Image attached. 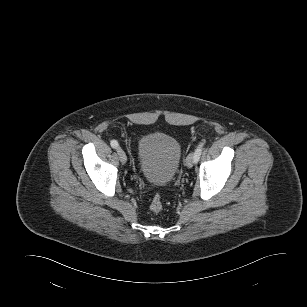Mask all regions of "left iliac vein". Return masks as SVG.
Segmentation results:
<instances>
[{
    "label": "left iliac vein",
    "instance_id": "left-iliac-vein-1",
    "mask_svg": "<svg viewBox=\"0 0 307 307\" xmlns=\"http://www.w3.org/2000/svg\"><path fill=\"white\" fill-rule=\"evenodd\" d=\"M194 164V154L193 153H190L186 160H185V165L188 167V168H191Z\"/></svg>",
    "mask_w": 307,
    "mask_h": 307
}]
</instances>
